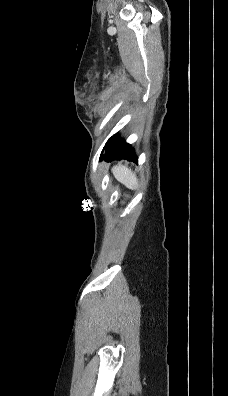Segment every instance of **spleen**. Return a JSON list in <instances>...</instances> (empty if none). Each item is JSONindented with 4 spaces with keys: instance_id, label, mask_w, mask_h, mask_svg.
<instances>
[{
    "instance_id": "spleen-1",
    "label": "spleen",
    "mask_w": 228,
    "mask_h": 396,
    "mask_svg": "<svg viewBox=\"0 0 228 396\" xmlns=\"http://www.w3.org/2000/svg\"><path fill=\"white\" fill-rule=\"evenodd\" d=\"M112 172L115 178L123 183L127 188L134 190L138 186V180L135 174L123 165L114 166Z\"/></svg>"
}]
</instances>
